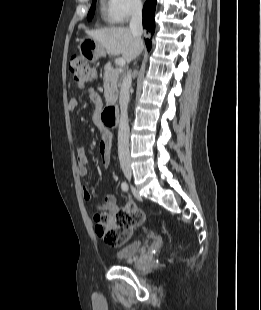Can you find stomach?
<instances>
[{"instance_id":"obj_1","label":"stomach","mask_w":261,"mask_h":310,"mask_svg":"<svg viewBox=\"0 0 261 310\" xmlns=\"http://www.w3.org/2000/svg\"><path fill=\"white\" fill-rule=\"evenodd\" d=\"M80 54L89 62L97 61L104 55L102 46L92 38H85L79 45Z\"/></svg>"}]
</instances>
